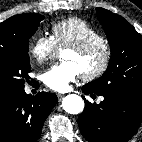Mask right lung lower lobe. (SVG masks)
<instances>
[{
    "mask_svg": "<svg viewBox=\"0 0 142 142\" xmlns=\"http://www.w3.org/2000/svg\"><path fill=\"white\" fill-rule=\"evenodd\" d=\"M55 94L31 97L21 90L0 106V142H35L43 123L57 103Z\"/></svg>",
    "mask_w": 142,
    "mask_h": 142,
    "instance_id": "98d812e1",
    "label": "right lung lower lobe"
}]
</instances>
